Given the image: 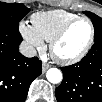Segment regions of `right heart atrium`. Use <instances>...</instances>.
I'll return each mask as SVG.
<instances>
[{"label":"right heart atrium","instance_id":"obj_1","mask_svg":"<svg viewBox=\"0 0 102 102\" xmlns=\"http://www.w3.org/2000/svg\"><path fill=\"white\" fill-rule=\"evenodd\" d=\"M20 31L24 39L31 46L32 49H35L38 52H42L45 50L46 44L44 39L39 34H37L32 26L26 23H22L20 25Z\"/></svg>","mask_w":102,"mask_h":102}]
</instances>
